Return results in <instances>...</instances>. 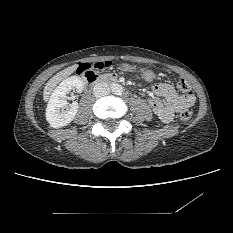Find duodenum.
Masks as SVG:
<instances>
[{"label":"duodenum","instance_id":"duodenum-1","mask_svg":"<svg viewBox=\"0 0 233 233\" xmlns=\"http://www.w3.org/2000/svg\"><path fill=\"white\" fill-rule=\"evenodd\" d=\"M84 79L88 84L91 85H94L98 82H107V83L117 82V79L111 75L99 76L97 74H94L91 78L85 77Z\"/></svg>","mask_w":233,"mask_h":233}]
</instances>
